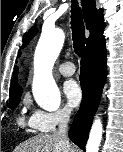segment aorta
I'll use <instances>...</instances> for the list:
<instances>
[{
	"label": "aorta",
	"mask_w": 123,
	"mask_h": 152,
	"mask_svg": "<svg viewBox=\"0 0 123 152\" xmlns=\"http://www.w3.org/2000/svg\"><path fill=\"white\" fill-rule=\"evenodd\" d=\"M64 43L61 29H44L34 54L33 95L36 103L46 111H56L61 103L59 89L52 77V68ZM102 123L96 119L86 145L87 152H98L102 140Z\"/></svg>",
	"instance_id": "aorta-1"
}]
</instances>
